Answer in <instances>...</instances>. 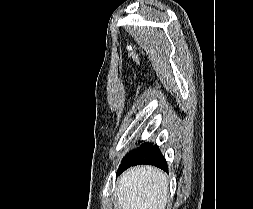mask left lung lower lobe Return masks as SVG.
Wrapping results in <instances>:
<instances>
[{
  "label": "left lung lower lobe",
  "instance_id": "obj_1",
  "mask_svg": "<svg viewBox=\"0 0 253 209\" xmlns=\"http://www.w3.org/2000/svg\"><path fill=\"white\" fill-rule=\"evenodd\" d=\"M153 165L156 166L165 172H168L167 162L164 159L161 151L159 150L157 145H150L147 149L141 152L136 156H127L123 159L122 164L118 169V174L127 170L131 166L136 165Z\"/></svg>",
  "mask_w": 253,
  "mask_h": 209
}]
</instances>
